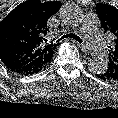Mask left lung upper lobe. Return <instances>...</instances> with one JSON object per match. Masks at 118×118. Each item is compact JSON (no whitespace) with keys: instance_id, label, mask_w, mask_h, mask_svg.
I'll use <instances>...</instances> for the list:
<instances>
[{"instance_id":"obj_1","label":"left lung upper lobe","mask_w":118,"mask_h":118,"mask_svg":"<svg viewBox=\"0 0 118 118\" xmlns=\"http://www.w3.org/2000/svg\"><path fill=\"white\" fill-rule=\"evenodd\" d=\"M96 11L100 17L101 26L112 38V44L109 46L108 69L101 74V77L105 80H118V9L99 3L96 5Z\"/></svg>"}]
</instances>
